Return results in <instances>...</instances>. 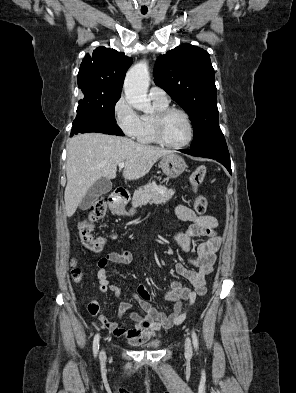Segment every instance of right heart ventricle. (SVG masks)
<instances>
[{"mask_svg": "<svg viewBox=\"0 0 296 393\" xmlns=\"http://www.w3.org/2000/svg\"><path fill=\"white\" fill-rule=\"evenodd\" d=\"M154 112L140 116V128L136 139L142 144H156L154 119L155 115L168 107V104H162L153 101Z\"/></svg>", "mask_w": 296, "mask_h": 393, "instance_id": "1", "label": "right heart ventricle"}]
</instances>
